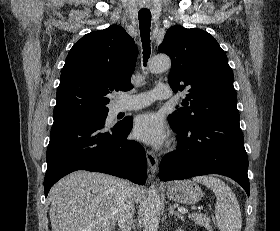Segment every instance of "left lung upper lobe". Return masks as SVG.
<instances>
[{
  "label": "left lung upper lobe",
  "mask_w": 280,
  "mask_h": 231,
  "mask_svg": "<svg viewBox=\"0 0 280 231\" xmlns=\"http://www.w3.org/2000/svg\"><path fill=\"white\" fill-rule=\"evenodd\" d=\"M159 51L172 61L171 88L174 92H189L180 104L185 107L168 118L186 128L204 121H239L233 71L213 36L201 29L173 26L167 30Z\"/></svg>",
  "instance_id": "1"
}]
</instances>
